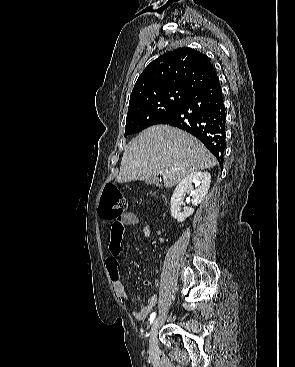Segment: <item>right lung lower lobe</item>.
Listing matches in <instances>:
<instances>
[{
    "label": "right lung lower lobe",
    "instance_id": "right-lung-lower-lobe-1",
    "mask_svg": "<svg viewBox=\"0 0 295 367\" xmlns=\"http://www.w3.org/2000/svg\"><path fill=\"white\" fill-rule=\"evenodd\" d=\"M225 119L222 90L219 80L216 79L190 94L175 111L156 124H167L191 133L222 163L225 151Z\"/></svg>",
    "mask_w": 295,
    "mask_h": 367
}]
</instances>
